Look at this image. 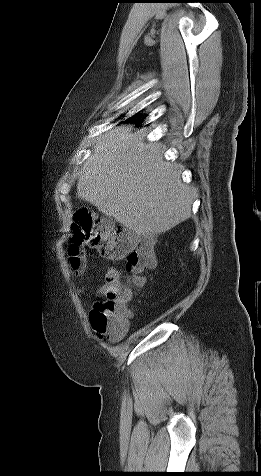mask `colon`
Returning a JSON list of instances; mask_svg holds the SVG:
<instances>
[{"label":"colon","instance_id":"5ec220e1","mask_svg":"<svg viewBox=\"0 0 261 476\" xmlns=\"http://www.w3.org/2000/svg\"><path fill=\"white\" fill-rule=\"evenodd\" d=\"M86 249L93 250L101 259L125 261L132 286L143 285V272L156 264L152 240L139 239L126 230L115 228L109 220L89 209L81 208L75 214L68 245L71 267L77 273L84 269ZM130 295L131 288L125 287L122 292H110L105 299L95 302L90 320L99 336L116 340L125 334L131 318Z\"/></svg>","mask_w":261,"mask_h":476}]
</instances>
